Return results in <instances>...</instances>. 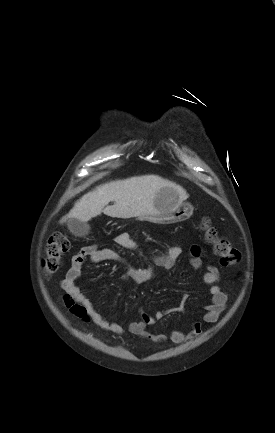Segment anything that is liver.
I'll use <instances>...</instances> for the list:
<instances>
[{"label": "liver", "mask_w": 275, "mask_h": 433, "mask_svg": "<svg viewBox=\"0 0 275 433\" xmlns=\"http://www.w3.org/2000/svg\"><path fill=\"white\" fill-rule=\"evenodd\" d=\"M165 187L175 189L181 201L188 198V194L181 186L160 176L131 177L103 184L85 194L60 222L63 223L67 219L87 222L102 212L117 218L153 215L156 213L155 194ZM111 201L114 205L108 206Z\"/></svg>", "instance_id": "6515ba94"}]
</instances>
